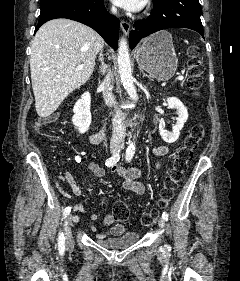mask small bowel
Masks as SVG:
<instances>
[{"label":"small bowel","instance_id":"small-bowel-1","mask_svg":"<svg viewBox=\"0 0 240 281\" xmlns=\"http://www.w3.org/2000/svg\"><path fill=\"white\" fill-rule=\"evenodd\" d=\"M154 151L159 158H163L167 154L168 148L166 146H158L154 149ZM88 167L95 177L103 178L105 176V169L101 166L95 163H91ZM112 172L123 179L122 187L124 189L131 191L136 195L145 194L146 189L144 184L138 179L140 173L137 168H125L121 165H115L112 167ZM64 179L70 185L73 193L76 196H81L83 194L82 188L77 184L73 175L69 171H66L64 173ZM102 202L104 205H107L109 200L106 196H102ZM72 207L76 212H86V209L81 203H76ZM89 218L90 220L94 221L98 218V216L96 214H91ZM73 220L75 222H78L80 220V217L74 216ZM103 224L108 228V231L105 234L100 235L102 237L107 235L118 236L121 235L125 230V227L123 225L115 223V218L111 213H107L104 216ZM93 231H95V228H93Z\"/></svg>","mask_w":240,"mask_h":281}]
</instances>
